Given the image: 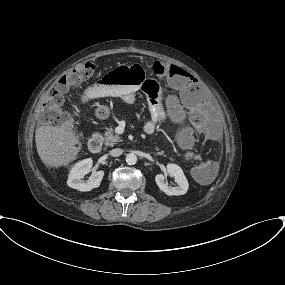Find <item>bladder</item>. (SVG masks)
<instances>
[{
    "instance_id": "31cf9c89",
    "label": "bladder",
    "mask_w": 285,
    "mask_h": 285,
    "mask_svg": "<svg viewBox=\"0 0 285 285\" xmlns=\"http://www.w3.org/2000/svg\"><path fill=\"white\" fill-rule=\"evenodd\" d=\"M188 134L191 135L187 131H184L181 133V138H180V142H179L180 147H182V148L188 147L189 143L192 140V138L191 139L188 138Z\"/></svg>"
}]
</instances>
